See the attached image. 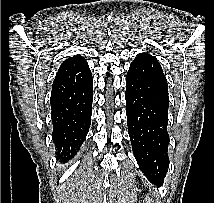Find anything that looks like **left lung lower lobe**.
I'll return each instance as SVG.
<instances>
[{
	"label": "left lung lower lobe",
	"mask_w": 214,
	"mask_h": 203,
	"mask_svg": "<svg viewBox=\"0 0 214 203\" xmlns=\"http://www.w3.org/2000/svg\"><path fill=\"white\" fill-rule=\"evenodd\" d=\"M126 114L132 150L151 182H163L169 166L168 85L154 56L140 53L126 77Z\"/></svg>",
	"instance_id": "left-lung-lower-lobe-1"
}]
</instances>
